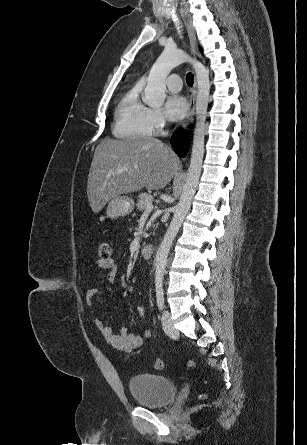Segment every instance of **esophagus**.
I'll list each match as a JSON object with an SVG mask.
<instances>
[{"instance_id":"obj_1","label":"esophagus","mask_w":307,"mask_h":445,"mask_svg":"<svg viewBox=\"0 0 307 445\" xmlns=\"http://www.w3.org/2000/svg\"><path fill=\"white\" fill-rule=\"evenodd\" d=\"M180 13H181L185 28L188 33L189 42L191 45V52L193 55L196 56L197 55V49H196L197 42H196V36H195L194 29H193L192 24L187 16V13L185 12V10L183 8L180 9ZM196 95H197V81L195 78L194 85L191 90L189 112L187 113L186 117L184 118V120L181 124L182 128L187 129L189 124L194 121Z\"/></svg>"}]
</instances>
